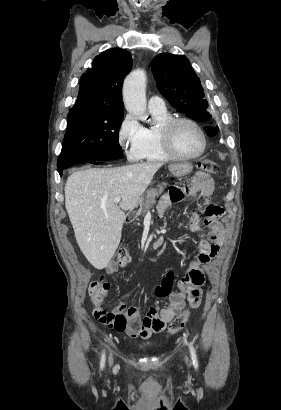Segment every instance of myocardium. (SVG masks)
Here are the masks:
<instances>
[{"label":"myocardium","mask_w":281,"mask_h":410,"mask_svg":"<svg viewBox=\"0 0 281 410\" xmlns=\"http://www.w3.org/2000/svg\"><path fill=\"white\" fill-rule=\"evenodd\" d=\"M178 123H188L197 129L202 138V147L198 153L194 155H183L176 150L172 142V131ZM159 138L164 150L173 159L194 160L202 156L207 148V136L204 129L195 120L189 117L177 116L164 121L159 127Z\"/></svg>","instance_id":"obj_1"}]
</instances>
